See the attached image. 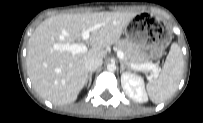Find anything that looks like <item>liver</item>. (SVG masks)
I'll return each instance as SVG.
<instances>
[{
  "label": "liver",
  "mask_w": 203,
  "mask_h": 123,
  "mask_svg": "<svg viewBox=\"0 0 203 123\" xmlns=\"http://www.w3.org/2000/svg\"><path fill=\"white\" fill-rule=\"evenodd\" d=\"M136 12H96L60 14L44 20L28 41L27 73L35 91L54 105L77 99L87 83L85 61L103 59L107 49L119 41ZM98 26L87 40L90 49L73 54L56 49L57 45L81 43L82 32Z\"/></svg>",
  "instance_id": "1"
}]
</instances>
